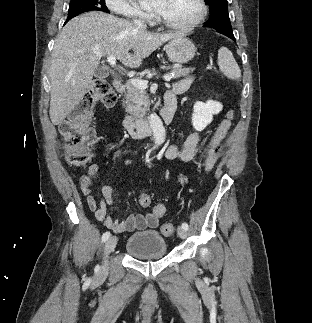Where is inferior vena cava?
<instances>
[{
	"label": "inferior vena cava",
	"instance_id": "obj_1",
	"mask_svg": "<svg viewBox=\"0 0 312 323\" xmlns=\"http://www.w3.org/2000/svg\"><path fill=\"white\" fill-rule=\"evenodd\" d=\"M135 24H137V26H139V28H141V26H143V22L142 20H134Z\"/></svg>",
	"mask_w": 312,
	"mask_h": 323
}]
</instances>
